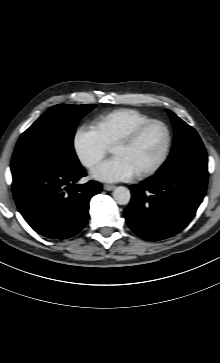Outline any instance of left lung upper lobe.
Masks as SVG:
<instances>
[{
	"label": "left lung upper lobe",
	"mask_w": 220,
	"mask_h": 363,
	"mask_svg": "<svg viewBox=\"0 0 220 363\" xmlns=\"http://www.w3.org/2000/svg\"><path fill=\"white\" fill-rule=\"evenodd\" d=\"M167 113L171 117L175 137L170 156L163 166L175 163L189 155H206V150L197 132L170 110H167Z\"/></svg>",
	"instance_id": "left-lung-upper-lobe-1"
}]
</instances>
